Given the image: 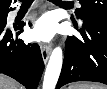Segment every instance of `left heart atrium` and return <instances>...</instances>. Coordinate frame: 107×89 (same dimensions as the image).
Here are the masks:
<instances>
[{
    "instance_id": "obj_1",
    "label": "left heart atrium",
    "mask_w": 107,
    "mask_h": 89,
    "mask_svg": "<svg viewBox=\"0 0 107 89\" xmlns=\"http://www.w3.org/2000/svg\"><path fill=\"white\" fill-rule=\"evenodd\" d=\"M56 32L57 23L54 16L45 14L34 23L31 35L37 41L48 42L53 39Z\"/></svg>"
}]
</instances>
